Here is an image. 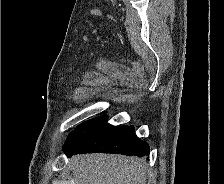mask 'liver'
I'll return each mask as SVG.
<instances>
[{"label": "liver", "mask_w": 224, "mask_h": 184, "mask_svg": "<svg viewBox=\"0 0 224 184\" xmlns=\"http://www.w3.org/2000/svg\"><path fill=\"white\" fill-rule=\"evenodd\" d=\"M75 184H145L146 164L137 157L112 154L74 156L70 162Z\"/></svg>", "instance_id": "6515ba94"}]
</instances>
